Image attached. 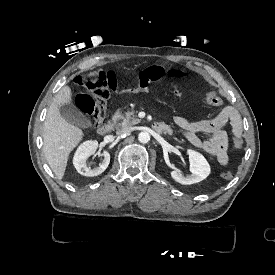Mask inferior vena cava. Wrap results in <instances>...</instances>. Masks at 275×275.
Returning a JSON list of instances; mask_svg holds the SVG:
<instances>
[{"label": "inferior vena cava", "instance_id": "inferior-vena-cava-1", "mask_svg": "<svg viewBox=\"0 0 275 275\" xmlns=\"http://www.w3.org/2000/svg\"><path fill=\"white\" fill-rule=\"evenodd\" d=\"M133 131V129L131 127H127V128H122L117 130V135H123V134H128L131 133Z\"/></svg>", "mask_w": 275, "mask_h": 275}]
</instances>
